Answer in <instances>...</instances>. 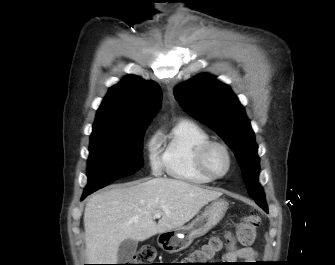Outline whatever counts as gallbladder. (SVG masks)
<instances>
[{
	"label": "gallbladder",
	"mask_w": 335,
	"mask_h": 265,
	"mask_svg": "<svg viewBox=\"0 0 335 265\" xmlns=\"http://www.w3.org/2000/svg\"><path fill=\"white\" fill-rule=\"evenodd\" d=\"M138 242L133 239L124 240L119 248L117 253V259L120 263L129 262L136 253Z\"/></svg>",
	"instance_id": "bac80fb5"
}]
</instances>
